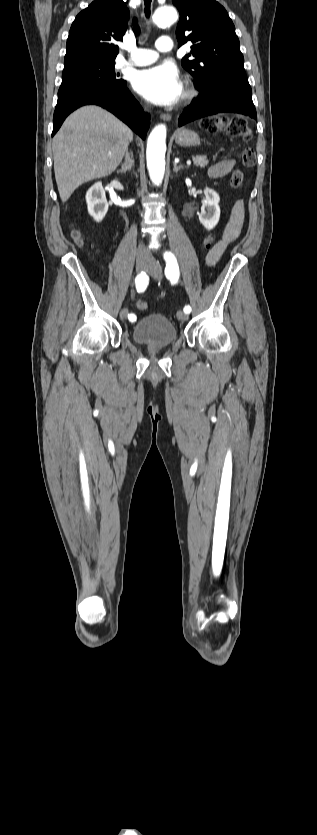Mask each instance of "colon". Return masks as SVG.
<instances>
[{
    "instance_id": "1",
    "label": "colon",
    "mask_w": 317,
    "mask_h": 835,
    "mask_svg": "<svg viewBox=\"0 0 317 835\" xmlns=\"http://www.w3.org/2000/svg\"><path fill=\"white\" fill-rule=\"evenodd\" d=\"M202 127L209 133H219L221 131H226L232 137L240 138L244 141H248L251 137L250 129L248 128L247 122L242 117H234L231 119L225 117H208L202 120L201 122ZM256 161V154L255 150L247 146L244 148L242 153V163L245 167H251L254 165ZM245 176L241 170H235L232 173L230 179V185L234 189H240L244 184ZM74 239L81 243L82 237L78 231L73 232ZM211 245V238H207L204 241L205 247H210ZM138 309L145 311L148 309L147 302L143 300H138L136 303Z\"/></svg>"
}]
</instances>
